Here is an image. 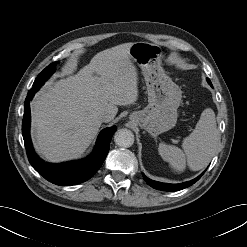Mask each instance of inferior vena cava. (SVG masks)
Wrapping results in <instances>:
<instances>
[{"instance_id":"602c4592","label":"inferior vena cava","mask_w":247,"mask_h":247,"mask_svg":"<svg viewBox=\"0 0 247 247\" xmlns=\"http://www.w3.org/2000/svg\"><path fill=\"white\" fill-rule=\"evenodd\" d=\"M100 120L102 122H108L111 120L112 116L108 113H102L100 116H99Z\"/></svg>"}]
</instances>
